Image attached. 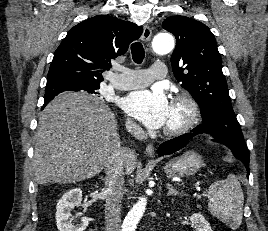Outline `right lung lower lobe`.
I'll use <instances>...</instances> for the list:
<instances>
[{
	"instance_id": "98d812e1",
	"label": "right lung lower lobe",
	"mask_w": 268,
	"mask_h": 231,
	"mask_svg": "<svg viewBox=\"0 0 268 231\" xmlns=\"http://www.w3.org/2000/svg\"><path fill=\"white\" fill-rule=\"evenodd\" d=\"M46 105H47V104H44L43 107H42V109H43Z\"/></svg>"
}]
</instances>
